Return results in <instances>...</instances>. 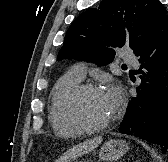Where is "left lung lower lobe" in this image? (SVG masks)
<instances>
[{
	"label": "left lung lower lobe",
	"instance_id": "left-lung-lower-lobe-1",
	"mask_svg": "<svg viewBox=\"0 0 168 162\" xmlns=\"http://www.w3.org/2000/svg\"><path fill=\"white\" fill-rule=\"evenodd\" d=\"M139 57L140 76L137 96L133 97L120 124L121 133L134 135L168 148V15L154 26L149 37L134 51Z\"/></svg>",
	"mask_w": 168,
	"mask_h": 162
}]
</instances>
